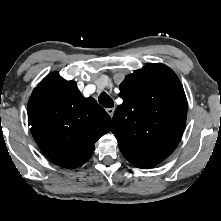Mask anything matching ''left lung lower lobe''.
<instances>
[{"mask_svg": "<svg viewBox=\"0 0 221 221\" xmlns=\"http://www.w3.org/2000/svg\"><path fill=\"white\" fill-rule=\"evenodd\" d=\"M125 156V158L131 162L132 164H134L135 166L139 167V168H143V169H149V168H152L156 165L152 164V163H148V162H144V161H141L139 159H136L135 157L133 156H130V155H127V154H123Z\"/></svg>", "mask_w": 221, "mask_h": 221, "instance_id": "left-lung-lower-lobe-1", "label": "left lung lower lobe"}]
</instances>
